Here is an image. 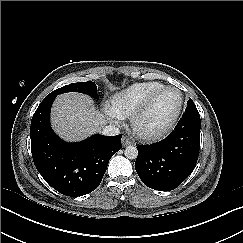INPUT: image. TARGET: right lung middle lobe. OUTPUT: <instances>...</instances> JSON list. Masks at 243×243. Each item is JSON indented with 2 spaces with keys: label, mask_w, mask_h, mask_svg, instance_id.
I'll return each instance as SVG.
<instances>
[{
  "label": "right lung middle lobe",
  "mask_w": 243,
  "mask_h": 243,
  "mask_svg": "<svg viewBox=\"0 0 243 243\" xmlns=\"http://www.w3.org/2000/svg\"><path fill=\"white\" fill-rule=\"evenodd\" d=\"M97 87L94 82L88 81V82H79V83H72L69 85H66L64 87H61L59 89H56L55 91L51 92L49 95H59L66 92H80L88 94L94 98H97L96 93Z\"/></svg>",
  "instance_id": "dd1d6c3e"
}]
</instances>
